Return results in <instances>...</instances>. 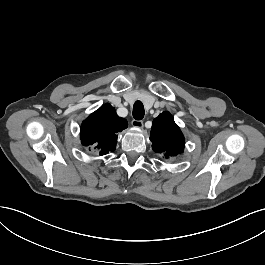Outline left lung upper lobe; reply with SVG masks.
Here are the masks:
<instances>
[{
    "label": "left lung upper lobe",
    "mask_w": 265,
    "mask_h": 265,
    "mask_svg": "<svg viewBox=\"0 0 265 265\" xmlns=\"http://www.w3.org/2000/svg\"><path fill=\"white\" fill-rule=\"evenodd\" d=\"M150 140L154 152L161 154L166 159L175 157L184 150V136L172 115L167 111L154 119Z\"/></svg>",
    "instance_id": "left-lung-upper-lobe-1"
}]
</instances>
